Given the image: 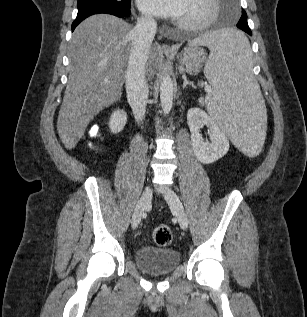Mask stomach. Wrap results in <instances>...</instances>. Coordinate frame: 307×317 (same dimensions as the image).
<instances>
[{
	"mask_svg": "<svg viewBox=\"0 0 307 317\" xmlns=\"http://www.w3.org/2000/svg\"><path fill=\"white\" fill-rule=\"evenodd\" d=\"M177 58L187 73L195 75L201 71L206 59V53L197 46H191L184 49Z\"/></svg>",
	"mask_w": 307,
	"mask_h": 317,
	"instance_id": "stomach-1",
	"label": "stomach"
}]
</instances>
